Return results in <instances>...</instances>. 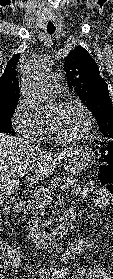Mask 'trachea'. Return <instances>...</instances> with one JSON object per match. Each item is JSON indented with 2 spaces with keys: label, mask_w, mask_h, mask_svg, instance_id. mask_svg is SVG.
<instances>
[{
  "label": "trachea",
  "mask_w": 113,
  "mask_h": 279,
  "mask_svg": "<svg viewBox=\"0 0 113 279\" xmlns=\"http://www.w3.org/2000/svg\"><path fill=\"white\" fill-rule=\"evenodd\" d=\"M56 27L54 25H48L47 26V32L52 35L55 33Z\"/></svg>",
  "instance_id": "obj_1"
}]
</instances>
